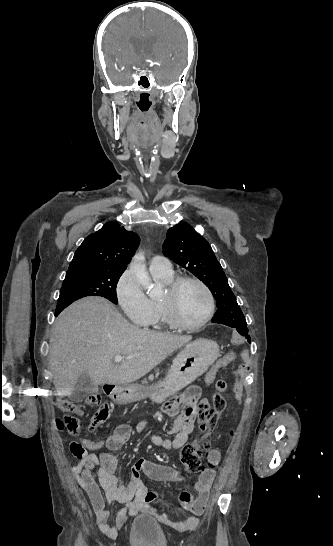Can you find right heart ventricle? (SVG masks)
Returning a JSON list of instances; mask_svg holds the SVG:
<instances>
[{"instance_id": "1", "label": "right heart ventricle", "mask_w": 333, "mask_h": 546, "mask_svg": "<svg viewBox=\"0 0 333 546\" xmlns=\"http://www.w3.org/2000/svg\"><path fill=\"white\" fill-rule=\"evenodd\" d=\"M153 275L159 281L167 285L171 283L172 280L174 279L173 273L171 275H161V274L153 273ZM150 301L152 304L153 312H152V316L146 323V326L152 330H163L166 327L167 322L163 316V313L159 304V300L152 299Z\"/></svg>"}]
</instances>
